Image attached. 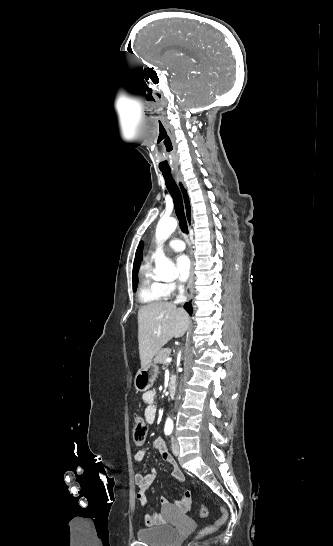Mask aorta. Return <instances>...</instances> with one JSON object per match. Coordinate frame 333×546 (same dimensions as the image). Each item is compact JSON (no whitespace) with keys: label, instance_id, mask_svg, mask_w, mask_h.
<instances>
[{"label":"aorta","instance_id":"762f6f07","mask_svg":"<svg viewBox=\"0 0 333 546\" xmlns=\"http://www.w3.org/2000/svg\"><path fill=\"white\" fill-rule=\"evenodd\" d=\"M177 221L174 218H162L156 228V238L159 241L166 240L176 229ZM156 270L155 275L166 281H171L175 278L174 264L166 258L161 247L157 249V256L155 258ZM173 423L171 419L166 422L167 427H172Z\"/></svg>","mask_w":333,"mask_h":546}]
</instances>
